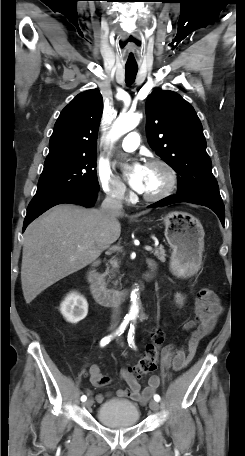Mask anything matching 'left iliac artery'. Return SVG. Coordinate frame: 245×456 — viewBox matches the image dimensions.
Returning a JSON list of instances; mask_svg holds the SVG:
<instances>
[{
    "label": "left iliac artery",
    "mask_w": 245,
    "mask_h": 456,
    "mask_svg": "<svg viewBox=\"0 0 245 456\" xmlns=\"http://www.w3.org/2000/svg\"><path fill=\"white\" fill-rule=\"evenodd\" d=\"M128 343H129V346L131 348H135V344H134V326L131 325L130 327V330H129V334H128ZM160 396L158 394H155L154 395V400L159 402L160 401Z\"/></svg>",
    "instance_id": "44dca946"
}]
</instances>
